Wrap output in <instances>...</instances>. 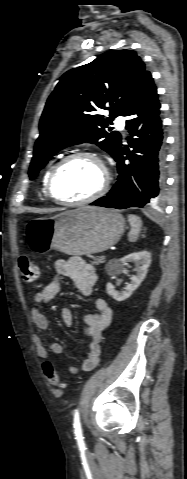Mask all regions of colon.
Instances as JSON below:
<instances>
[{"mask_svg": "<svg viewBox=\"0 0 187 479\" xmlns=\"http://www.w3.org/2000/svg\"><path fill=\"white\" fill-rule=\"evenodd\" d=\"M18 266L21 278L25 283H33L38 279L40 273L39 267L28 257H20ZM43 371L53 387L58 389H64L66 387V382L60 377L53 364L49 362L45 363Z\"/></svg>", "mask_w": 187, "mask_h": 479, "instance_id": "colon-1", "label": "colon"}]
</instances>
